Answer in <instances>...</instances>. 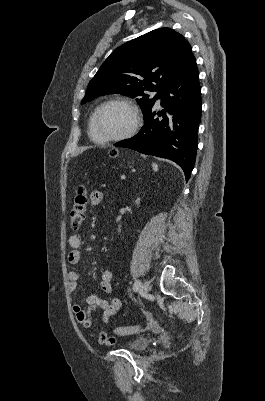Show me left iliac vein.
I'll return each mask as SVG.
<instances>
[{"instance_id":"1","label":"left iliac vein","mask_w":265,"mask_h":401,"mask_svg":"<svg viewBox=\"0 0 265 401\" xmlns=\"http://www.w3.org/2000/svg\"><path fill=\"white\" fill-rule=\"evenodd\" d=\"M142 289H143V293L147 294L150 291V286L147 283H144L142 286Z\"/></svg>"}]
</instances>
